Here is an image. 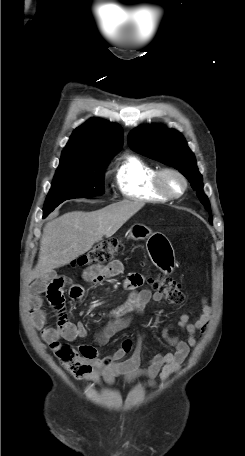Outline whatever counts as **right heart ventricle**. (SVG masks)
Instances as JSON below:
<instances>
[{
  "instance_id": "right-heart-ventricle-1",
  "label": "right heart ventricle",
  "mask_w": 245,
  "mask_h": 456,
  "mask_svg": "<svg viewBox=\"0 0 245 456\" xmlns=\"http://www.w3.org/2000/svg\"><path fill=\"white\" fill-rule=\"evenodd\" d=\"M157 170L137 156H125L115 169L117 188L124 197L131 200L166 201L168 199L159 194L153 186V177Z\"/></svg>"
}]
</instances>
